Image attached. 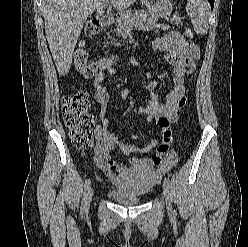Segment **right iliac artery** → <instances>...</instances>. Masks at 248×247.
I'll use <instances>...</instances> for the list:
<instances>
[{
    "instance_id": "1",
    "label": "right iliac artery",
    "mask_w": 248,
    "mask_h": 247,
    "mask_svg": "<svg viewBox=\"0 0 248 247\" xmlns=\"http://www.w3.org/2000/svg\"><path fill=\"white\" fill-rule=\"evenodd\" d=\"M91 180L87 179L84 184V193H83V198L81 202V213H84L86 210V200H87V191L90 187Z\"/></svg>"
}]
</instances>
